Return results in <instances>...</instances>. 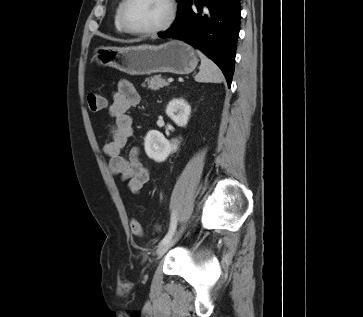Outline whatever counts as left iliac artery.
I'll return each instance as SVG.
<instances>
[{
    "mask_svg": "<svg viewBox=\"0 0 363 317\" xmlns=\"http://www.w3.org/2000/svg\"><path fill=\"white\" fill-rule=\"evenodd\" d=\"M176 226H177V220H176V215L173 213L172 217H171V222H170V228L168 233L165 235V237L161 240L160 244L166 243L168 242L174 235L175 230H176Z\"/></svg>",
    "mask_w": 363,
    "mask_h": 317,
    "instance_id": "44dca946",
    "label": "left iliac artery"
}]
</instances>
